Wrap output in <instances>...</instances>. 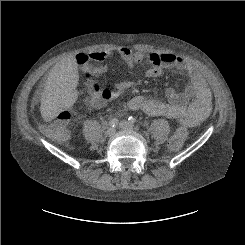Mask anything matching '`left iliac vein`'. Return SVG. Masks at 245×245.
<instances>
[{"label": "left iliac vein", "mask_w": 245, "mask_h": 245, "mask_svg": "<svg viewBox=\"0 0 245 245\" xmlns=\"http://www.w3.org/2000/svg\"><path fill=\"white\" fill-rule=\"evenodd\" d=\"M119 128L122 130H128V131H133L134 130V125L128 121H121L119 123Z\"/></svg>", "instance_id": "obj_1"}]
</instances>
